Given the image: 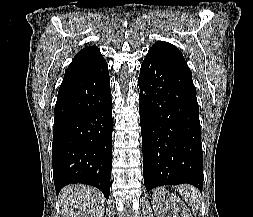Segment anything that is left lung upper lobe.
Returning <instances> with one entry per match:
<instances>
[{"label": "left lung upper lobe", "instance_id": "5c2ea615", "mask_svg": "<svg viewBox=\"0 0 253 217\" xmlns=\"http://www.w3.org/2000/svg\"><path fill=\"white\" fill-rule=\"evenodd\" d=\"M148 54L157 56L173 68L192 77L191 70L182 53L174 45L168 42L158 41L149 49Z\"/></svg>", "mask_w": 253, "mask_h": 217}]
</instances>
